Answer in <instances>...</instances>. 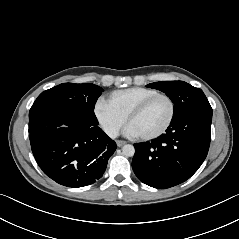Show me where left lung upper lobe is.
I'll list each match as a JSON object with an SVG mask.
<instances>
[{
	"label": "left lung upper lobe",
	"instance_id": "5c2ea615",
	"mask_svg": "<svg viewBox=\"0 0 239 239\" xmlns=\"http://www.w3.org/2000/svg\"><path fill=\"white\" fill-rule=\"evenodd\" d=\"M147 87L164 92L174 103L173 119L197 109L211 108L203 91L183 81H161Z\"/></svg>",
	"mask_w": 239,
	"mask_h": 239
}]
</instances>
